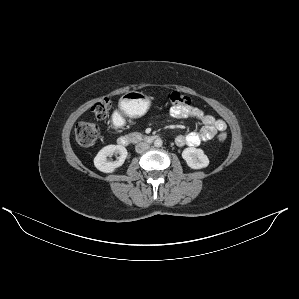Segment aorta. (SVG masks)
<instances>
[{
	"label": "aorta",
	"mask_w": 299,
	"mask_h": 299,
	"mask_svg": "<svg viewBox=\"0 0 299 299\" xmlns=\"http://www.w3.org/2000/svg\"><path fill=\"white\" fill-rule=\"evenodd\" d=\"M163 145V141L161 139H156L154 141V146L160 148Z\"/></svg>",
	"instance_id": "aorta-1"
}]
</instances>
